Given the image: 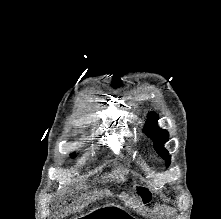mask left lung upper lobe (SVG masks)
<instances>
[{"mask_svg": "<svg viewBox=\"0 0 221 219\" xmlns=\"http://www.w3.org/2000/svg\"><path fill=\"white\" fill-rule=\"evenodd\" d=\"M158 117L156 113H150L148 116L147 123L143 129L148 137L154 141V148L157 153L166 160V165L170 164V156L164 149L163 145L168 140V132L164 129H160L157 124Z\"/></svg>", "mask_w": 221, "mask_h": 219, "instance_id": "left-lung-upper-lobe-1", "label": "left lung upper lobe"}]
</instances>
